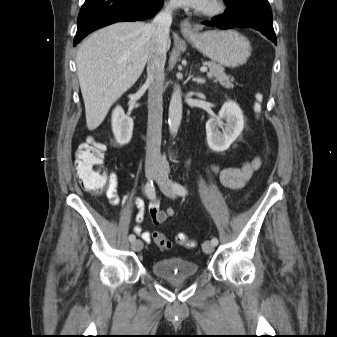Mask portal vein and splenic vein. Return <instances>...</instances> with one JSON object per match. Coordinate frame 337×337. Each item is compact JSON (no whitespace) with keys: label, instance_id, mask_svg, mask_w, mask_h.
Wrapping results in <instances>:
<instances>
[{"label":"portal vein and splenic vein","instance_id":"18ae733b","mask_svg":"<svg viewBox=\"0 0 337 337\" xmlns=\"http://www.w3.org/2000/svg\"><path fill=\"white\" fill-rule=\"evenodd\" d=\"M207 70H208V69H207V67H205V66L200 68V71H201V72H207Z\"/></svg>","mask_w":337,"mask_h":337}]
</instances>
